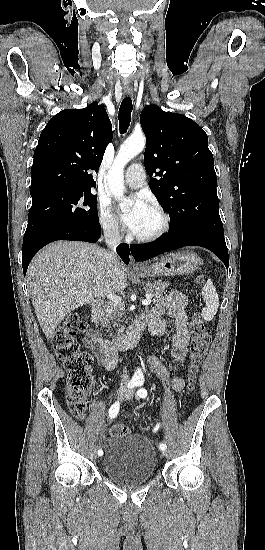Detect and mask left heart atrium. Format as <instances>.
Here are the masks:
<instances>
[{
  "instance_id": "39dd6f15",
  "label": "left heart atrium",
  "mask_w": 265,
  "mask_h": 550,
  "mask_svg": "<svg viewBox=\"0 0 265 550\" xmlns=\"http://www.w3.org/2000/svg\"><path fill=\"white\" fill-rule=\"evenodd\" d=\"M149 205L141 195H137L133 199V204L129 211L121 214V219L124 225L135 233L139 227L141 219L149 210Z\"/></svg>"
}]
</instances>
